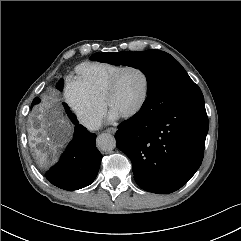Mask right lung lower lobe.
<instances>
[{"mask_svg":"<svg viewBox=\"0 0 241 241\" xmlns=\"http://www.w3.org/2000/svg\"><path fill=\"white\" fill-rule=\"evenodd\" d=\"M74 137L59 162L46 173L47 180L64 190H78L90 185L97 176L102 154L96 148V135L78 123L73 114Z\"/></svg>","mask_w":241,"mask_h":241,"instance_id":"98d812e1","label":"right lung lower lobe"}]
</instances>
